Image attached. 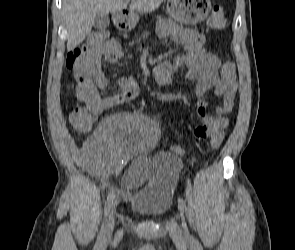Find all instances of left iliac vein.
I'll use <instances>...</instances> for the list:
<instances>
[{
  "instance_id": "4c4485c4",
  "label": "left iliac vein",
  "mask_w": 295,
  "mask_h": 250,
  "mask_svg": "<svg viewBox=\"0 0 295 250\" xmlns=\"http://www.w3.org/2000/svg\"><path fill=\"white\" fill-rule=\"evenodd\" d=\"M179 210H180V214L182 216V228H183V231H184V235H185V238L188 239V238H190V234H189L188 229H187L186 221H185V219L183 217L184 209L181 206H179Z\"/></svg>"
}]
</instances>
